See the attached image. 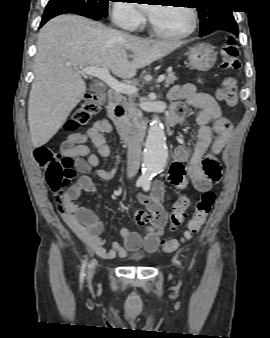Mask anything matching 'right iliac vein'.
I'll list each match as a JSON object with an SVG mask.
<instances>
[{
	"mask_svg": "<svg viewBox=\"0 0 270 338\" xmlns=\"http://www.w3.org/2000/svg\"><path fill=\"white\" fill-rule=\"evenodd\" d=\"M94 268H90L88 272V280L90 281L93 278Z\"/></svg>",
	"mask_w": 270,
	"mask_h": 338,
	"instance_id": "right-iliac-vein-1",
	"label": "right iliac vein"
}]
</instances>
